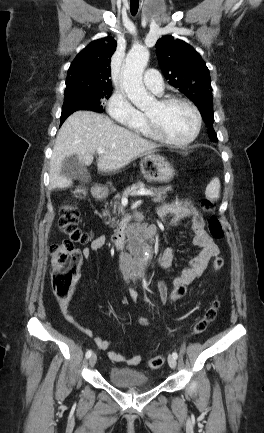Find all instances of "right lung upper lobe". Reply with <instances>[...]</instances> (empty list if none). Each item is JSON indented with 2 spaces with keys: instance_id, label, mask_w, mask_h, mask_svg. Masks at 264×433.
Wrapping results in <instances>:
<instances>
[{
  "instance_id": "1",
  "label": "right lung upper lobe",
  "mask_w": 264,
  "mask_h": 433,
  "mask_svg": "<svg viewBox=\"0 0 264 433\" xmlns=\"http://www.w3.org/2000/svg\"><path fill=\"white\" fill-rule=\"evenodd\" d=\"M116 46L112 37H105L85 47L69 67L65 97L112 88L110 58Z\"/></svg>"
}]
</instances>
